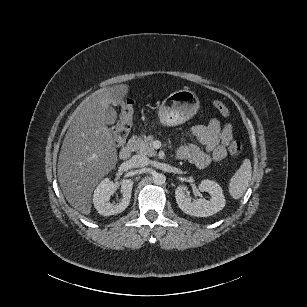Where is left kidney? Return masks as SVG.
Here are the masks:
<instances>
[{
  "label": "left kidney",
  "mask_w": 307,
  "mask_h": 307,
  "mask_svg": "<svg viewBox=\"0 0 307 307\" xmlns=\"http://www.w3.org/2000/svg\"><path fill=\"white\" fill-rule=\"evenodd\" d=\"M200 189L207 191L211 198L209 200L192 201L191 197L184 194L181 189L176 190L177 203L185 213L192 216H211L224 208L226 200L219 183L214 180L203 179Z\"/></svg>",
  "instance_id": "5707ae66"
}]
</instances>
